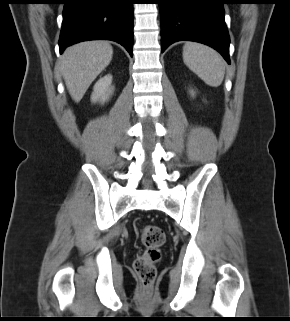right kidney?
<instances>
[{
	"instance_id": "obj_1",
	"label": "right kidney",
	"mask_w": 290,
	"mask_h": 321,
	"mask_svg": "<svg viewBox=\"0 0 290 321\" xmlns=\"http://www.w3.org/2000/svg\"><path fill=\"white\" fill-rule=\"evenodd\" d=\"M112 84V75L108 74L100 78L93 87V92L91 95L92 102H101L104 103L113 93Z\"/></svg>"
}]
</instances>
